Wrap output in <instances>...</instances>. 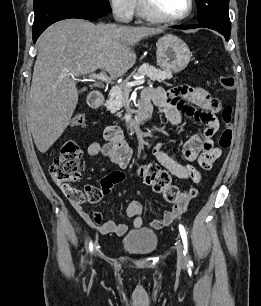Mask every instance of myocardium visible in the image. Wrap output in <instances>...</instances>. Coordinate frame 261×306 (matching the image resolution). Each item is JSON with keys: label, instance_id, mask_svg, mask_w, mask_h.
<instances>
[{"label": "myocardium", "instance_id": "myocardium-1", "mask_svg": "<svg viewBox=\"0 0 261 306\" xmlns=\"http://www.w3.org/2000/svg\"><path fill=\"white\" fill-rule=\"evenodd\" d=\"M141 10L151 19L160 22H179L188 18L194 9V0H188V8L186 12L180 16L169 17L163 15L156 7L153 0H138Z\"/></svg>", "mask_w": 261, "mask_h": 306}]
</instances>
